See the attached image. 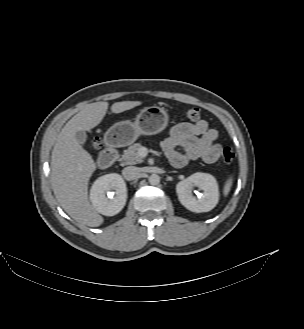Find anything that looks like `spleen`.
<instances>
[{
	"instance_id": "obj_1",
	"label": "spleen",
	"mask_w": 304,
	"mask_h": 329,
	"mask_svg": "<svg viewBox=\"0 0 304 329\" xmlns=\"http://www.w3.org/2000/svg\"><path fill=\"white\" fill-rule=\"evenodd\" d=\"M232 177H229L224 185L223 193L224 195H227L230 192L231 186H232Z\"/></svg>"
}]
</instances>
